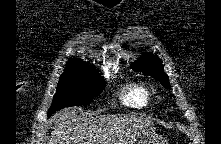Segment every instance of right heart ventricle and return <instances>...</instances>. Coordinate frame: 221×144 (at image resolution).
Listing matches in <instances>:
<instances>
[{
  "label": "right heart ventricle",
  "instance_id": "e07e8e85",
  "mask_svg": "<svg viewBox=\"0 0 221 144\" xmlns=\"http://www.w3.org/2000/svg\"><path fill=\"white\" fill-rule=\"evenodd\" d=\"M151 96V91L144 84L130 82L122 88L120 99L126 106L136 109H144L149 106Z\"/></svg>",
  "mask_w": 221,
  "mask_h": 144
}]
</instances>
